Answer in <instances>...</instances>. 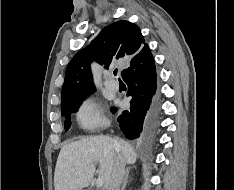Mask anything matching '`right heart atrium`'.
<instances>
[{
  "label": "right heart atrium",
  "instance_id": "obj_1",
  "mask_svg": "<svg viewBox=\"0 0 234 190\" xmlns=\"http://www.w3.org/2000/svg\"><path fill=\"white\" fill-rule=\"evenodd\" d=\"M75 116L78 125L86 130L99 129L106 124L99 104L89 98L79 104Z\"/></svg>",
  "mask_w": 234,
  "mask_h": 190
}]
</instances>
